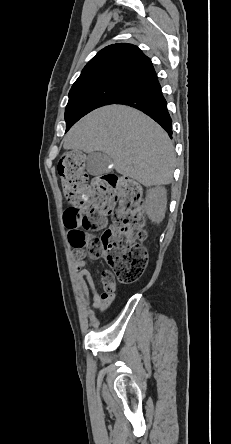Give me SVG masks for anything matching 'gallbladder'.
Wrapping results in <instances>:
<instances>
[{"instance_id":"1","label":"gallbladder","mask_w":231,"mask_h":444,"mask_svg":"<svg viewBox=\"0 0 231 444\" xmlns=\"http://www.w3.org/2000/svg\"><path fill=\"white\" fill-rule=\"evenodd\" d=\"M110 157L99 151L88 154L87 157V172L93 176H99L108 172V165L110 164Z\"/></svg>"}]
</instances>
